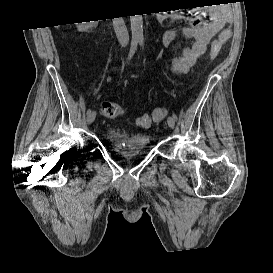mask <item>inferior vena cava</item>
Returning <instances> with one entry per match:
<instances>
[{
  "label": "inferior vena cava",
  "instance_id": "1",
  "mask_svg": "<svg viewBox=\"0 0 273 273\" xmlns=\"http://www.w3.org/2000/svg\"><path fill=\"white\" fill-rule=\"evenodd\" d=\"M113 26L119 43L126 46L129 42V35L123 17L113 18Z\"/></svg>",
  "mask_w": 273,
  "mask_h": 273
}]
</instances>
